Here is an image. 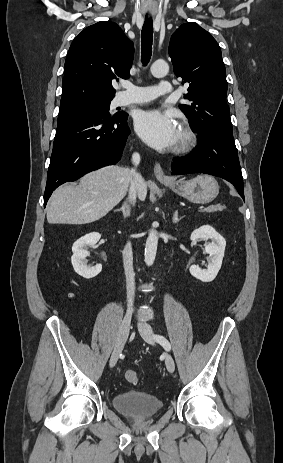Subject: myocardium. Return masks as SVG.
I'll list each match as a JSON object with an SVG mask.
<instances>
[{
	"mask_svg": "<svg viewBox=\"0 0 283 463\" xmlns=\"http://www.w3.org/2000/svg\"><path fill=\"white\" fill-rule=\"evenodd\" d=\"M179 138L176 142L174 151L181 153L193 148L196 144V134L193 129L185 122L179 125Z\"/></svg>",
	"mask_w": 283,
	"mask_h": 463,
	"instance_id": "1",
	"label": "myocardium"
}]
</instances>
